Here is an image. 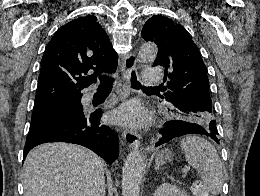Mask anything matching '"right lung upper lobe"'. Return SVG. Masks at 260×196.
<instances>
[{
  "label": "right lung upper lobe",
  "mask_w": 260,
  "mask_h": 196,
  "mask_svg": "<svg viewBox=\"0 0 260 196\" xmlns=\"http://www.w3.org/2000/svg\"><path fill=\"white\" fill-rule=\"evenodd\" d=\"M117 57L94 15L63 25L42 57L34 106L82 96L81 90L95 83L98 74L116 70Z\"/></svg>",
  "instance_id": "right-lung-upper-lobe-1"
}]
</instances>
